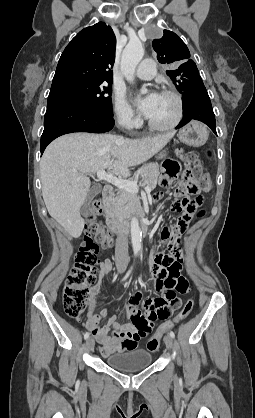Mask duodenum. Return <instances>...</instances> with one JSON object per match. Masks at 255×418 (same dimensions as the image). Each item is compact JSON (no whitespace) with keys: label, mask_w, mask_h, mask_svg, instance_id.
Returning <instances> with one entry per match:
<instances>
[{"label":"duodenum","mask_w":255,"mask_h":418,"mask_svg":"<svg viewBox=\"0 0 255 418\" xmlns=\"http://www.w3.org/2000/svg\"><path fill=\"white\" fill-rule=\"evenodd\" d=\"M103 202L106 211V223L108 228L115 234L122 235L128 232V223L120 218L113 209L114 188L111 185H105L102 191ZM138 217V216H137ZM139 218V217H138ZM139 224L143 232L149 229V220L139 218Z\"/></svg>","instance_id":"obj_1"}]
</instances>
